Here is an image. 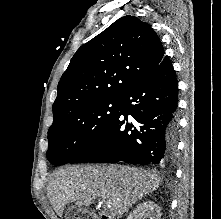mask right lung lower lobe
<instances>
[{"mask_svg": "<svg viewBox=\"0 0 221 219\" xmlns=\"http://www.w3.org/2000/svg\"><path fill=\"white\" fill-rule=\"evenodd\" d=\"M177 101V80L166 56L123 94L107 129L69 163H169L176 153Z\"/></svg>", "mask_w": 221, "mask_h": 219, "instance_id": "1", "label": "right lung lower lobe"}]
</instances>
